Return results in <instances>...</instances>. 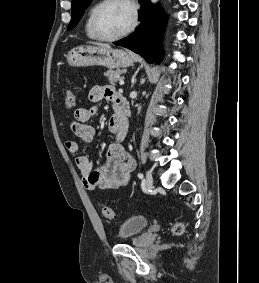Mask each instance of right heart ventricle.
I'll return each mask as SVG.
<instances>
[{
    "instance_id": "e07e8e85",
    "label": "right heart ventricle",
    "mask_w": 259,
    "mask_h": 283,
    "mask_svg": "<svg viewBox=\"0 0 259 283\" xmlns=\"http://www.w3.org/2000/svg\"><path fill=\"white\" fill-rule=\"evenodd\" d=\"M96 5L97 4H94L89 9L86 20H85V26H84L85 34L89 39H96L95 36L92 33V30H91V17H92V13H93V10L95 9Z\"/></svg>"
}]
</instances>
